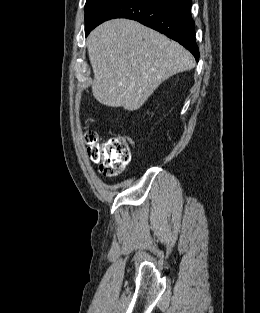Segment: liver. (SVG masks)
<instances>
[{
	"instance_id": "6515ba94",
	"label": "liver",
	"mask_w": 260,
	"mask_h": 313,
	"mask_svg": "<svg viewBox=\"0 0 260 313\" xmlns=\"http://www.w3.org/2000/svg\"><path fill=\"white\" fill-rule=\"evenodd\" d=\"M87 47L94 98L128 111L139 109L162 81L195 66L180 44L129 19L102 23L90 33Z\"/></svg>"
}]
</instances>
